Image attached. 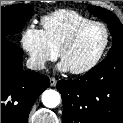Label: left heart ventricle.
<instances>
[{
  "instance_id": "obj_1",
  "label": "left heart ventricle",
  "mask_w": 123,
  "mask_h": 123,
  "mask_svg": "<svg viewBox=\"0 0 123 123\" xmlns=\"http://www.w3.org/2000/svg\"><path fill=\"white\" fill-rule=\"evenodd\" d=\"M105 41L104 30L100 26H92L85 30L74 46L69 49L63 62L69 69H79L88 65L99 53Z\"/></svg>"
}]
</instances>
